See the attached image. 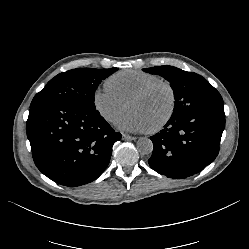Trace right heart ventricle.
Instances as JSON below:
<instances>
[{
    "label": "right heart ventricle",
    "mask_w": 249,
    "mask_h": 249,
    "mask_svg": "<svg viewBox=\"0 0 249 249\" xmlns=\"http://www.w3.org/2000/svg\"><path fill=\"white\" fill-rule=\"evenodd\" d=\"M160 80L156 74L141 70H121L106 79V87L124 102L145 85Z\"/></svg>",
    "instance_id": "obj_1"
}]
</instances>
